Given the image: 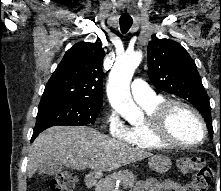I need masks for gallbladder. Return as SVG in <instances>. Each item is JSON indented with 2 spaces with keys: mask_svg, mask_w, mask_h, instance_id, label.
Wrapping results in <instances>:
<instances>
[{
  "mask_svg": "<svg viewBox=\"0 0 221 191\" xmlns=\"http://www.w3.org/2000/svg\"><path fill=\"white\" fill-rule=\"evenodd\" d=\"M63 164L60 161L56 160H46L43 162L39 168L38 173L39 174H47V175H55L62 171Z\"/></svg>",
  "mask_w": 221,
  "mask_h": 191,
  "instance_id": "bac80fb5",
  "label": "gallbladder"
}]
</instances>
